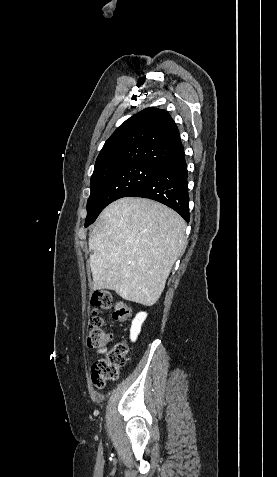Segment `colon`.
<instances>
[{
  "label": "colon",
  "instance_id": "5ec220e1",
  "mask_svg": "<svg viewBox=\"0 0 277 477\" xmlns=\"http://www.w3.org/2000/svg\"><path fill=\"white\" fill-rule=\"evenodd\" d=\"M93 307L89 319L88 345L92 348L107 346L112 335L104 329V319L100 311H111V317L115 321L125 322L130 316L128 304L116 297L110 291H96L91 296ZM128 345L125 341L117 343L111 348L104 358L94 362L91 369V379L95 387L103 388L107 381L118 377L120 368L125 364Z\"/></svg>",
  "mask_w": 277,
  "mask_h": 477
}]
</instances>
